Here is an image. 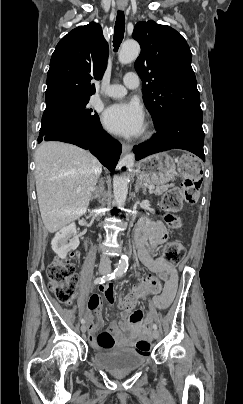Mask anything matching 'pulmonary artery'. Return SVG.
Segmentation results:
<instances>
[{
	"mask_svg": "<svg viewBox=\"0 0 243 404\" xmlns=\"http://www.w3.org/2000/svg\"><path fill=\"white\" fill-rule=\"evenodd\" d=\"M140 85V78L136 73L129 72L123 77L120 84L109 85L106 89V95L112 98H118L126 93L127 88H137Z\"/></svg>",
	"mask_w": 243,
	"mask_h": 404,
	"instance_id": "e3ab8cb5",
	"label": "pulmonary artery"
}]
</instances>
